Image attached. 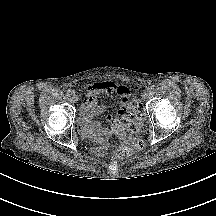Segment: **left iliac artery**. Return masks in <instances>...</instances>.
<instances>
[{"label":"left iliac artery","mask_w":216,"mask_h":216,"mask_svg":"<svg viewBox=\"0 0 216 216\" xmlns=\"http://www.w3.org/2000/svg\"><path fill=\"white\" fill-rule=\"evenodd\" d=\"M147 89H148L149 92H152L153 89H154V86H150V87H148Z\"/></svg>","instance_id":"obj_1"}]
</instances>
